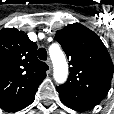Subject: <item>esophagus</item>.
I'll use <instances>...</instances> for the list:
<instances>
[{
  "instance_id": "esophagus-1",
  "label": "esophagus",
  "mask_w": 114,
  "mask_h": 114,
  "mask_svg": "<svg viewBox=\"0 0 114 114\" xmlns=\"http://www.w3.org/2000/svg\"><path fill=\"white\" fill-rule=\"evenodd\" d=\"M47 65H48L49 69L51 70L52 69V61H51V59L47 60Z\"/></svg>"
}]
</instances>
